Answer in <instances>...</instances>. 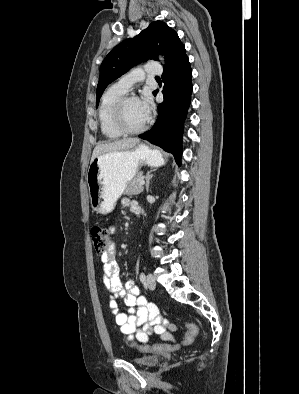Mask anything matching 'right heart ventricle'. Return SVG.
<instances>
[{"label":"right heart ventricle","instance_id":"e07e8e85","mask_svg":"<svg viewBox=\"0 0 299 394\" xmlns=\"http://www.w3.org/2000/svg\"><path fill=\"white\" fill-rule=\"evenodd\" d=\"M127 91L117 84L110 86L103 94L98 109V118L102 134L108 139H117L123 135L119 131L112 119V112L116 101Z\"/></svg>","mask_w":299,"mask_h":394}]
</instances>
